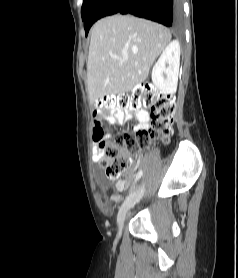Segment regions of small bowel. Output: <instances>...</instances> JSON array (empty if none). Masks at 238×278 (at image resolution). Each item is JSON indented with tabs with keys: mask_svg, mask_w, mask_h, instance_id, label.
Segmentation results:
<instances>
[{
	"mask_svg": "<svg viewBox=\"0 0 238 278\" xmlns=\"http://www.w3.org/2000/svg\"><path fill=\"white\" fill-rule=\"evenodd\" d=\"M133 116H135L138 120V123L133 126L135 130L147 129L149 127V116L147 113L142 111L132 112L131 110H127L123 112L121 110L112 109L103 112L101 114V120L102 122H105L108 125L115 126L126 122L127 120L131 119ZM108 138L109 135L104 134L103 140H107ZM94 141L97 142V146L94 148L93 156L94 159L99 162L103 155V151L100 146L101 140L94 139ZM127 182H128L127 180L121 181L118 185L119 189H123L127 185ZM114 198L115 200H118L119 196L116 195Z\"/></svg>",
	"mask_w": 238,
	"mask_h": 278,
	"instance_id": "c3829d8e",
	"label": "small bowel"
}]
</instances>
